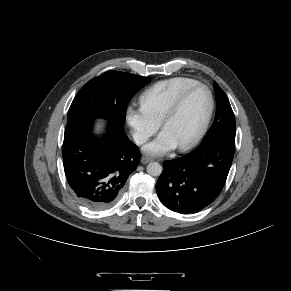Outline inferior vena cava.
Wrapping results in <instances>:
<instances>
[{"mask_svg": "<svg viewBox=\"0 0 291 291\" xmlns=\"http://www.w3.org/2000/svg\"><path fill=\"white\" fill-rule=\"evenodd\" d=\"M133 139L137 145H142L148 140V138L145 135L138 133L133 134Z\"/></svg>", "mask_w": 291, "mask_h": 291, "instance_id": "inferior-vena-cava-1", "label": "inferior vena cava"}]
</instances>
